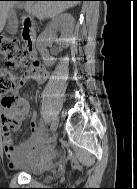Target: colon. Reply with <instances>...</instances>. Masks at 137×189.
Returning a JSON list of instances; mask_svg holds the SVG:
<instances>
[{
  "instance_id": "obj_1",
  "label": "colon",
  "mask_w": 137,
  "mask_h": 189,
  "mask_svg": "<svg viewBox=\"0 0 137 189\" xmlns=\"http://www.w3.org/2000/svg\"><path fill=\"white\" fill-rule=\"evenodd\" d=\"M0 56L6 68H0V103L10 105L11 93L19 86V78L12 71L29 66L26 52L18 39L0 35Z\"/></svg>"
}]
</instances>
